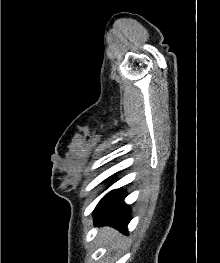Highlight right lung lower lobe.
Masks as SVG:
<instances>
[{
	"instance_id": "obj_1",
	"label": "right lung lower lobe",
	"mask_w": 220,
	"mask_h": 263,
	"mask_svg": "<svg viewBox=\"0 0 220 263\" xmlns=\"http://www.w3.org/2000/svg\"><path fill=\"white\" fill-rule=\"evenodd\" d=\"M125 196L122 190L109 192L94 210L95 225H109L127 234L131 216L129 207L124 203Z\"/></svg>"
}]
</instances>
